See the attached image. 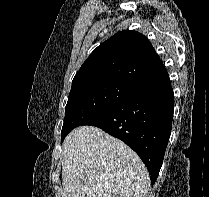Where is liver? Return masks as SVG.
<instances>
[{"label":"liver","instance_id":"obj_1","mask_svg":"<svg viewBox=\"0 0 209 197\" xmlns=\"http://www.w3.org/2000/svg\"><path fill=\"white\" fill-rule=\"evenodd\" d=\"M62 197H145L149 173L124 142L93 126L72 130L63 142Z\"/></svg>","mask_w":209,"mask_h":197}]
</instances>
